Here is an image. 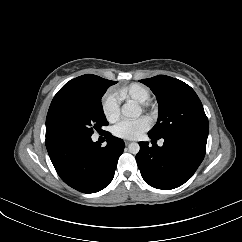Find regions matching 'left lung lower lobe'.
Returning a JSON list of instances; mask_svg holds the SVG:
<instances>
[{"mask_svg": "<svg viewBox=\"0 0 242 242\" xmlns=\"http://www.w3.org/2000/svg\"><path fill=\"white\" fill-rule=\"evenodd\" d=\"M207 136L189 133L164 138L162 147L157 144L149 147L148 142H139L136 161L145 182L163 190L184 184L204 159Z\"/></svg>", "mask_w": 242, "mask_h": 242, "instance_id": "1", "label": "left lung lower lobe"}]
</instances>
